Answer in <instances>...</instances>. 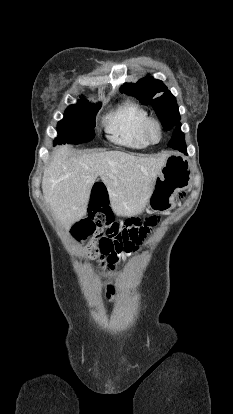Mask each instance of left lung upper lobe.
Returning a JSON list of instances; mask_svg holds the SVG:
<instances>
[{
  "mask_svg": "<svg viewBox=\"0 0 233 414\" xmlns=\"http://www.w3.org/2000/svg\"><path fill=\"white\" fill-rule=\"evenodd\" d=\"M120 91L134 95L143 105H152L165 130L180 124L176 99L162 81L146 77L135 84L125 83Z\"/></svg>",
  "mask_w": 233,
  "mask_h": 414,
  "instance_id": "obj_1",
  "label": "left lung upper lobe"
}]
</instances>
